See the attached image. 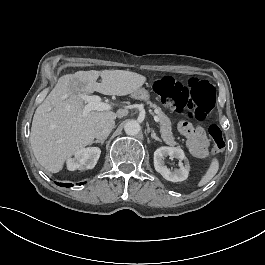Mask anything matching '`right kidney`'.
Returning a JSON list of instances; mask_svg holds the SVG:
<instances>
[{
    "instance_id": "1",
    "label": "right kidney",
    "mask_w": 265,
    "mask_h": 265,
    "mask_svg": "<svg viewBox=\"0 0 265 265\" xmlns=\"http://www.w3.org/2000/svg\"><path fill=\"white\" fill-rule=\"evenodd\" d=\"M99 147L80 148L76 151L74 158L66 162L69 171L93 169L100 157Z\"/></svg>"
}]
</instances>
